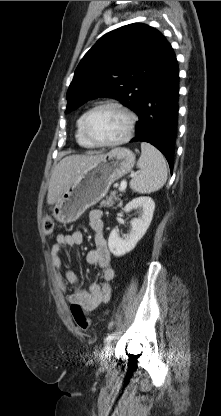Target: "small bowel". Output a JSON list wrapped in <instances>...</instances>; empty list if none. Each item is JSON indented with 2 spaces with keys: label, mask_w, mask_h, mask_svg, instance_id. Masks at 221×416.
<instances>
[{
  "label": "small bowel",
  "mask_w": 221,
  "mask_h": 416,
  "mask_svg": "<svg viewBox=\"0 0 221 416\" xmlns=\"http://www.w3.org/2000/svg\"><path fill=\"white\" fill-rule=\"evenodd\" d=\"M102 211L92 210L89 213V225L94 232V249L86 255V261L90 265L98 266L101 270L102 282H93L87 289L81 286L79 277L71 270H63L61 248L64 246L80 245L84 241L81 231L70 234H59L56 243L52 246L50 255L54 268L55 283L58 289L66 293L67 284L75 287V290L66 295L70 304H79L85 313H90L98 306L111 300L110 282L115 277V271L111 263V255L104 238V223Z\"/></svg>",
  "instance_id": "1"
}]
</instances>
